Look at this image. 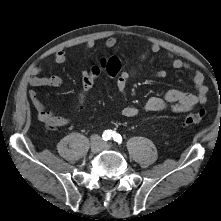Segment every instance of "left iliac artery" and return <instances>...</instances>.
<instances>
[{"label": "left iliac artery", "mask_w": 221, "mask_h": 221, "mask_svg": "<svg viewBox=\"0 0 221 221\" xmlns=\"http://www.w3.org/2000/svg\"><path fill=\"white\" fill-rule=\"evenodd\" d=\"M111 137L115 142L121 143L122 142V137L120 134L116 133L115 131H113L111 133Z\"/></svg>", "instance_id": "left-iliac-artery-1"}]
</instances>
